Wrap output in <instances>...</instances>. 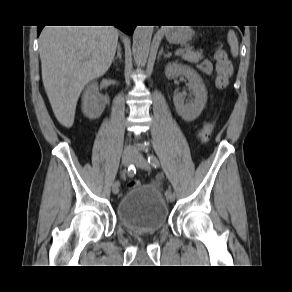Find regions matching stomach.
<instances>
[{"instance_id":"0dacf381","label":"stomach","mask_w":292,"mask_h":292,"mask_svg":"<svg viewBox=\"0 0 292 292\" xmlns=\"http://www.w3.org/2000/svg\"><path fill=\"white\" fill-rule=\"evenodd\" d=\"M166 39L170 43H186L192 37V31L184 27H170L166 30Z\"/></svg>"}]
</instances>
